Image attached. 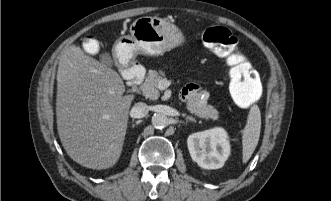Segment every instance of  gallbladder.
Instances as JSON below:
<instances>
[{
    "mask_svg": "<svg viewBox=\"0 0 331 201\" xmlns=\"http://www.w3.org/2000/svg\"><path fill=\"white\" fill-rule=\"evenodd\" d=\"M100 60H101V62H103L104 64H106L108 66H112L114 64L113 59L111 58L110 54L107 52L100 54Z\"/></svg>",
    "mask_w": 331,
    "mask_h": 201,
    "instance_id": "gallbladder-1",
    "label": "gallbladder"
}]
</instances>
